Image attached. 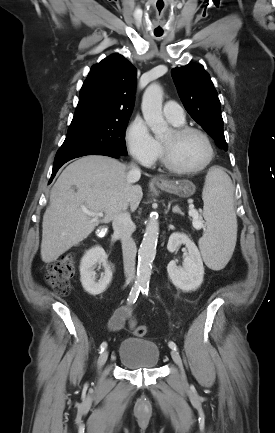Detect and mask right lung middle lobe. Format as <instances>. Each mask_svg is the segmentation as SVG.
<instances>
[{
  "mask_svg": "<svg viewBox=\"0 0 275 433\" xmlns=\"http://www.w3.org/2000/svg\"><path fill=\"white\" fill-rule=\"evenodd\" d=\"M128 120L129 118L72 120L67 137L58 150L55 160L97 151H108L126 156L127 149L123 137Z\"/></svg>",
  "mask_w": 275,
  "mask_h": 433,
  "instance_id": "obj_1",
  "label": "right lung middle lobe"
}]
</instances>
